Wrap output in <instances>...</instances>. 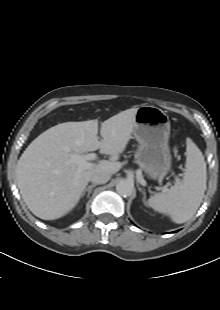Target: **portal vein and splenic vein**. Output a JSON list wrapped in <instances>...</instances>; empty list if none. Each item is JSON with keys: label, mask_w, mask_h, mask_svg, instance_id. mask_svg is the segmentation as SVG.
Listing matches in <instances>:
<instances>
[{"label": "portal vein and splenic vein", "mask_w": 220, "mask_h": 310, "mask_svg": "<svg viewBox=\"0 0 220 310\" xmlns=\"http://www.w3.org/2000/svg\"><path fill=\"white\" fill-rule=\"evenodd\" d=\"M97 155L95 153H89L86 155H74L71 161L77 164L80 168H90L93 164L89 163L90 160H95ZM164 191L167 190L166 187L163 188Z\"/></svg>", "instance_id": "1"}]
</instances>
